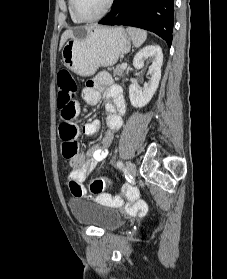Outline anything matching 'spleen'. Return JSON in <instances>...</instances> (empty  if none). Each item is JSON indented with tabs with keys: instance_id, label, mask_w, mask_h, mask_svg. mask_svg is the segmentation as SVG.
Wrapping results in <instances>:
<instances>
[{
	"instance_id": "1",
	"label": "spleen",
	"mask_w": 227,
	"mask_h": 279,
	"mask_svg": "<svg viewBox=\"0 0 227 279\" xmlns=\"http://www.w3.org/2000/svg\"><path fill=\"white\" fill-rule=\"evenodd\" d=\"M126 30L129 36L131 37V40L135 47H140L147 38V33L144 30L133 27H127Z\"/></svg>"
}]
</instances>
